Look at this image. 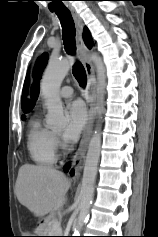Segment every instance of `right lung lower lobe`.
Wrapping results in <instances>:
<instances>
[{"instance_id":"right-lung-lower-lobe-1","label":"right lung lower lobe","mask_w":158,"mask_h":237,"mask_svg":"<svg viewBox=\"0 0 158 237\" xmlns=\"http://www.w3.org/2000/svg\"><path fill=\"white\" fill-rule=\"evenodd\" d=\"M69 166H70L69 164L65 165L64 170L67 171L69 169Z\"/></svg>"}]
</instances>
